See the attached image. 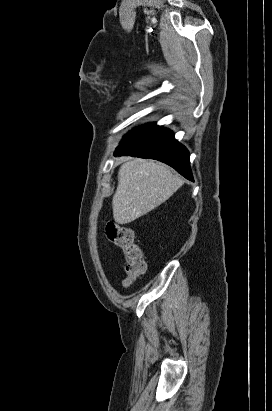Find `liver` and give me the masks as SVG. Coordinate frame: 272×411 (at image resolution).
<instances>
[{
	"instance_id": "obj_1",
	"label": "liver",
	"mask_w": 272,
	"mask_h": 411,
	"mask_svg": "<svg viewBox=\"0 0 272 411\" xmlns=\"http://www.w3.org/2000/svg\"><path fill=\"white\" fill-rule=\"evenodd\" d=\"M183 185L168 166L145 159H130L118 172L112 198L113 218L127 224L168 200Z\"/></svg>"
}]
</instances>
